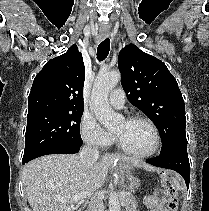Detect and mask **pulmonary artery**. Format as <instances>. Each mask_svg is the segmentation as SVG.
<instances>
[{
	"instance_id": "1",
	"label": "pulmonary artery",
	"mask_w": 209,
	"mask_h": 211,
	"mask_svg": "<svg viewBox=\"0 0 209 211\" xmlns=\"http://www.w3.org/2000/svg\"><path fill=\"white\" fill-rule=\"evenodd\" d=\"M109 103L116 109H121L125 103V95L122 89H115L109 96Z\"/></svg>"
}]
</instances>
